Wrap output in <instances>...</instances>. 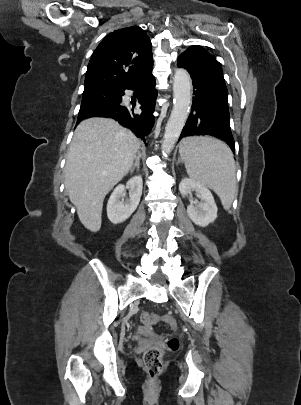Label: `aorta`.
Segmentation results:
<instances>
[{
    "mask_svg": "<svg viewBox=\"0 0 301 405\" xmlns=\"http://www.w3.org/2000/svg\"><path fill=\"white\" fill-rule=\"evenodd\" d=\"M174 106L163 136L162 150L169 154L186 123L191 105V79L185 69H177L173 78Z\"/></svg>",
    "mask_w": 301,
    "mask_h": 405,
    "instance_id": "aorta-1",
    "label": "aorta"
}]
</instances>
